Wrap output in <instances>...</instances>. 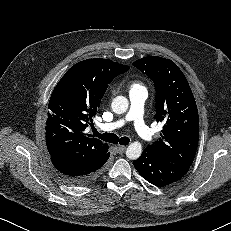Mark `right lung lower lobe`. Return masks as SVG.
<instances>
[{"instance_id": "right-lung-lower-lobe-1", "label": "right lung lower lobe", "mask_w": 231, "mask_h": 231, "mask_svg": "<svg viewBox=\"0 0 231 231\" xmlns=\"http://www.w3.org/2000/svg\"><path fill=\"white\" fill-rule=\"evenodd\" d=\"M110 153L88 163H70L58 158H51L60 176L70 185L84 186L93 182L101 174Z\"/></svg>"}]
</instances>
